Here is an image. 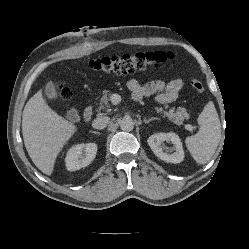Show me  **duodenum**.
I'll list each match as a JSON object with an SVG mask.
<instances>
[{
  "label": "duodenum",
  "mask_w": 249,
  "mask_h": 249,
  "mask_svg": "<svg viewBox=\"0 0 249 249\" xmlns=\"http://www.w3.org/2000/svg\"><path fill=\"white\" fill-rule=\"evenodd\" d=\"M94 115V109L91 105H88L83 111V119L89 122Z\"/></svg>",
  "instance_id": "duodenum-1"
}]
</instances>
